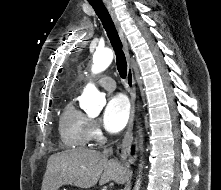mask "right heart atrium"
<instances>
[{
  "label": "right heart atrium",
  "mask_w": 221,
  "mask_h": 190,
  "mask_svg": "<svg viewBox=\"0 0 221 190\" xmlns=\"http://www.w3.org/2000/svg\"><path fill=\"white\" fill-rule=\"evenodd\" d=\"M89 135L90 140L93 142H99L101 140V130L95 121H90Z\"/></svg>",
  "instance_id": "1"
}]
</instances>
